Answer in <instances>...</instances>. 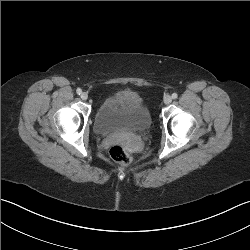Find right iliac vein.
I'll return each mask as SVG.
<instances>
[{"instance_id":"right-iliac-vein-1","label":"right iliac vein","mask_w":250,"mask_h":250,"mask_svg":"<svg viewBox=\"0 0 250 250\" xmlns=\"http://www.w3.org/2000/svg\"><path fill=\"white\" fill-rule=\"evenodd\" d=\"M81 99L82 100H87L88 99V94L86 92L81 93Z\"/></svg>"}]
</instances>
